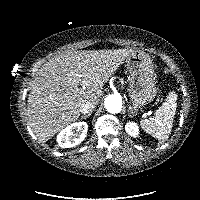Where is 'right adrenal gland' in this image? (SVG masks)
I'll list each match as a JSON object with an SVG mask.
<instances>
[{
	"label": "right adrenal gland",
	"mask_w": 200,
	"mask_h": 200,
	"mask_svg": "<svg viewBox=\"0 0 200 200\" xmlns=\"http://www.w3.org/2000/svg\"><path fill=\"white\" fill-rule=\"evenodd\" d=\"M90 116H91V113H88L87 115H82L81 119H86V118H89Z\"/></svg>",
	"instance_id": "2a0ac1e0"
}]
</instances>
